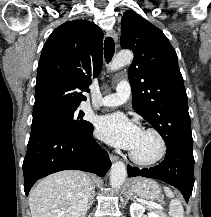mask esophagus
<instances>
[{"instance_id": "1", "label": "esophagus", "mask_w": 211, "mask_h": 217, "mask_svg": "<svg viewBox=\"0 0 211 217\" xmlns=\"http://www.w3.org/2000/svg\"><path fill=\"white\" fill-rule=\"evenodd\" d=\"M107 35H108L109 37L113 38V39L117 42L118 36H117V33L115 32V30H113V29L108 30V31H107ZM118 159H119L118 156L113 155V154H110V160H111L112 162H115V161H117Z\"/></svg>"}]
</instances>
